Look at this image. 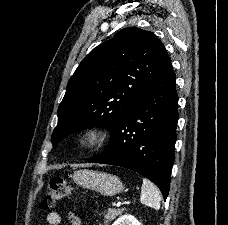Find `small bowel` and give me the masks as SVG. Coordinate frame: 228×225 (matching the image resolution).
<instances>
[{
	"label": "small bowel",
	"instance_id": "obj_1",
	"mask_svg": "<svg viewBox=\"0 0 228 225\" xmlns=\"http://www.w3.org/2000/svg\"><path fill=\"white\" fill-rule=\"evenodd\" d=\"M68 218L71 222V225H81V219L74 214L73 212H69L68 213ZM46 223L48 225H61L62 221H61V216L58 212L52 211L47 213L46 215Z\"/></svg>",
	"mask_w": 228,
	"mask_h": 225
}]
</instances>
